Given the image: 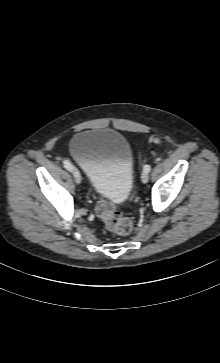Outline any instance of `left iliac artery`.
<instances>
[{"instance_id": "1", "label": "left iliac artery", "mask_w": 220, "mask_h": 363, "mask_svg": "<svg viewBox=\"0 0 220 363\" xmlns=\"http://www.w3.org/2000/svg\"><path fill=\"white\" fill-rule=\"evenodd\" d=\"M143 170H144L145 172L149 173V172H150V170H151V166H150V165H145V166L143 167Z\"/></svg>"}]
</instances>
